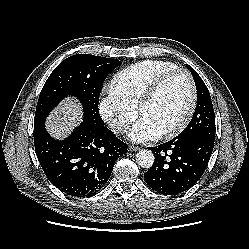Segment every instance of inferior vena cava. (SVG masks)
<instances>
[{"instance_id":"inferior-vena-cava-1","label":"inferior vena cava","mask_w":249,"mask_h":249,"mask_svg":"<svg viewBox=\"0 0 249 249\" xmlns=\"http://www.w3.org/2000/svg\"><path fill=\"white\" fill-rule=\"evenodd\" d=\"M111 128L114 131H121L122 129H124V125H122L121 123H113L111 124Z\"/></svg>"}]
</instances>
